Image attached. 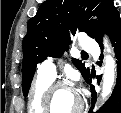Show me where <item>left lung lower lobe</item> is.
Here are the masks:
<instances>
[{"mask_svg":"<svg viewBox=\"0 0 121 113\" xmlns=\"http://www.w3.org/2000/svg\"><path fill=\"white\" fill-rule=\"evenodd\" d=\"M109 36L114 46L115 56L117 58V79L116 85L110 99L100 108L96 113H121V19L120 16L115 21L113 27L109 32ZM101 49H103L102 41L99 42ZM102 58V55H101ZM92 75L89 76L87 83H91ZM100 80V78H98ZM92 92V108L89 113H92L93 106L96 102L97 93L94 86L91 85Z\"/></svg>","mask_w":121,"mask_h":113,"instance_id":"0a47b994","label":"left lung lower lobe"}]
</instances>
